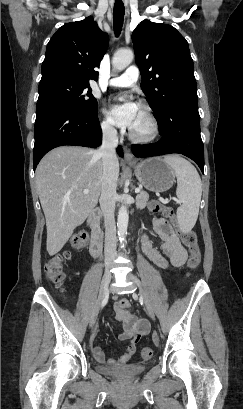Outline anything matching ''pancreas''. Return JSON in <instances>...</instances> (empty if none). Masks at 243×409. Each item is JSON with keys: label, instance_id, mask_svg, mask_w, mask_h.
Wrapping results in <instances>:
<instances>
[{"label": "pancreas", "instance_id": "cf45deb5", "mask_svg": "<svg viewBox=\"0 0 243 409\" xmlns=\"http://www.w3.org/2000/svg\"><path fill=\"white\" fill-rule=\"evenodd\" d=\"M149 200V194L145 191H140L136 196V207L137 209H144L147 206Z\"/></svg>", "mask_w": 243, "mask_h": 409}]
</instances>
